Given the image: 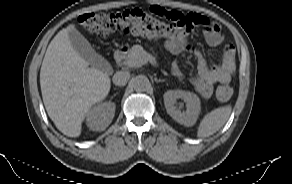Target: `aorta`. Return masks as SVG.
Returning a JSON list of instances; mask_svg holds the SVG:
<instances>
[{
  "mask_svg": "<svg viewBox=\"0 0 292 184\" xmlns=\"http://www.w3.org/2000/svg\"><path fill=\"white\" fill-rule=\"evenodd\" d=\"M134 90L138 92L146 91L150 87L149 79L144 75L136 76L132 82Z\"/></svg>",
  "mask_w": 292,
  "mask_h": 184,
  "instance_id": "762f6f07",
  "label": "aorta"
}]
</instances>
